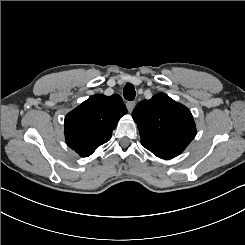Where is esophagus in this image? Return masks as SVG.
<instances>
[{
  "instance_id": "esophagus-1",
  "label": "esophagus",
  "mask_w": 245,
  "mask_h": 245,
  "mask_svg": "<svg viewBox=\"0 0 245 245\" xmlns=\"http://www.w3.org/2000/svg\"><path fill=\"white\" fill-rule=\"evenodd\" d=\"M135 104V101H129L126 103V107L130 113L133 111Z\"/></svg>"
}]
</instances>
